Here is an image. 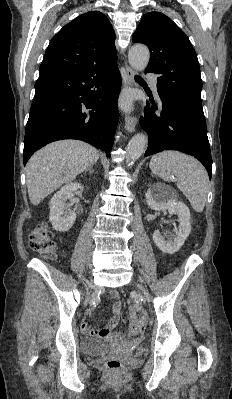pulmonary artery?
<instances>
[{
    "instance_id": "pulmonary-artery-1",
    "label": "pulmonary artery",
    "mask_w": 232,
    "mask_h": 399,
    "mask_svg": "<svg viewBox=\"0 0 232 399\" xmlns=\"http://www.w3.org/2000/svg\"><path fill=\"white\" fill-rule=\"evenodd\" d=\"M148 78H151V75H148ZM156 82H157L156 78H153V79H152V84H153V85H156Z\"/></svg>"
}]
</instances>
